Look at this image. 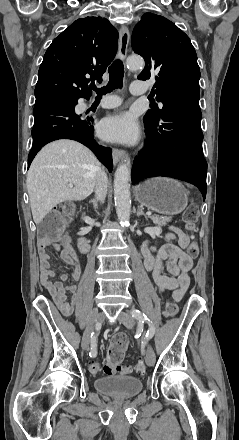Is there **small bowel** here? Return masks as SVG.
I'll return each instance as SVG.
<instances>
[{
  "label": "small bowel",
  "instance_id": "c3829d8e",
  "mask_svg": "<svg viewBox=\"0 0 239 440\" xmlns=\"http://www.w3.org/2000/svg\"><path fill=\"white\" fill-rule=\"evenodd\" d=\"M165 240L167 242L160 247L148 243L142 246L144 266L152 274L157 289L160 292L172 290L173 299L177 302L181 300L190 284L189 272L193 266V258L185 251L189 246L190 238L181 229L170 227ZM49 248L59 252L61 259L72 268L69 273L62 274L58 281L52 280L55 272L51 269ZM38 252L42 285L61 312L66 316L71 315L76 306L77 287L68 282L78 280L80 277V263L75 250L69 245L52 243L47 247L39 246ZM164 263L170 276L162 273ZM69 294H71L70 298Z\"/></svg>",
  "mask_w": 239,
  "mask_h": 440
}]
</instances>
